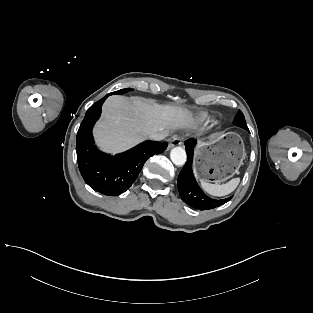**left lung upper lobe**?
I'll return each instance as SVG.
<instances>
[{
  "instance_id": "left-lung-upper-lobe-1",
  "label": "left lung upper lobe",
  "mask_w": 313,
  "mask_h": 313,
  "mask_svg": "<svg viewBox=\"0 0 313 313\" xmlns=\"http://www.w3.org/2000/svg\"><path fill=\"white\" fill-rule=\"evenodd\" d=\"M234 125L238 126V127H241L247 131L248 130V127L246 125V122H245V117L243 115V113L239 110V112L236 114L235 116V119L233 121Z\"/></svg>"
}]
</instances>
